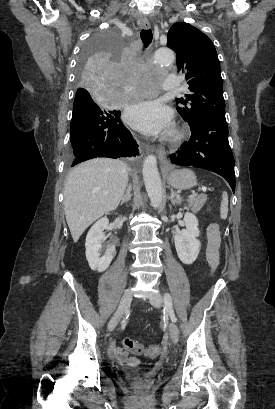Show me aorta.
<instances>
[{"label": "aorta", "mask_w": 275, "mask_h": 409, "mask_svg": "<svg viewBox=\"0 0 275 409\" xmlns=\"http://www.w3.org/2000/svg\"><path fill=\"white\" fill-rule=\"evenodd\" d=\"M174 52L170 48H159V51H150L149 59L154 60L155 64H167L173 62ZM143 178L148 192V196L153 207H159L162 202L163 190L160 174L157 168V158L154 154H148L143 162Z\"/></svg>", "instance_id": "aorta-1"}]
</instances>
